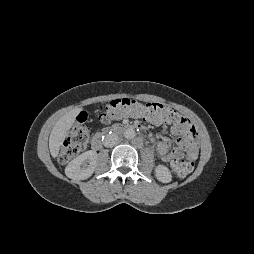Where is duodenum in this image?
Masks as SVG:
<instances>
[{
	"label": "duodenum",
	"instance_id": "duodenum-1",
	"mask_svg": "<svg viewBox=\"0 0 254 254\" xmlns=\"http://www.w3.org/2000/svg\"><path fill=\"white\" fill-rule=\"evenodd\" d=\"M136 126L128 124H116L113 125L109 130L113 131H125V130H135ZM102 147V139L100 135H97L92 141V148L98 150Z\"/></svg>",
	"mask_w": 254,
	"mask_h": 254
}]
</instances>
